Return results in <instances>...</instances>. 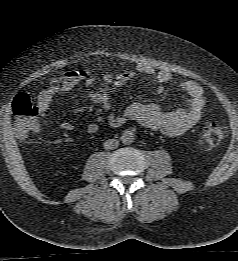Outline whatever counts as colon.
I'll list each match as a JSON object with an SVG mask.
<instances>
[{
    "mask_svg": "<svg viewBox=\"0 0 238 261\" xmlns=\"http://www.w3.org/2000/svg\"><path fill=\"white\" fill-rule=\"evenodd\" d=\"M14 127L17 134L25 139L39 129V109L31 97L21 94L13 102ZM225 135L224 128L217 123L206 125L201 133L200 144L212 148L220 144Z\"/></svg>",
    "mask_w": 238,
    "mask_h": 261,
    "instance_id": "5ec220e1",
    "label": "colon"
}]
</instances>
